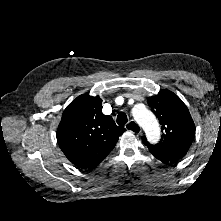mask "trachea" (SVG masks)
<instances>
[{
    "label": "trachea",
    "instance_id": "1",
    "mask_svg": "<svg viewBox=\"0 0 221 221\" xmlns=\"http://www.w3.org/2000/svg\"><path fill=\"white\" fill-rule=\"evenodd\" d=\"M127 121H128L127 115L124 112H119V114L117 116V124L124 125L127 123Z\"/></svg>",
    "mask_w": 221,
    "mask_h": 221
}]
</instances>
